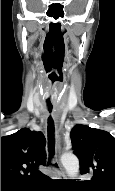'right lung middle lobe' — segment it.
<instances>
[{
    "mask_svg": "<svg viewBox=\"0 0 115 191\" xmlns=\"http://www.w3.org/2000/svg\"><path fill=\"white\" fill-rule=\"evenodd\" d=\"M13 190H16V189L1 187V191H13Z\"/></svg>",
    "mask_w": 115,
    "mask_h": 191,
    "instance_id": "dd1d6c3e",
    "label": "right lung middle lobe"
}]
</instances>
